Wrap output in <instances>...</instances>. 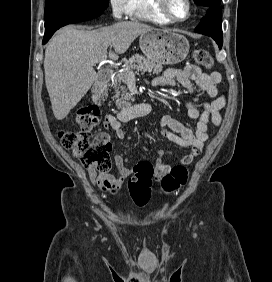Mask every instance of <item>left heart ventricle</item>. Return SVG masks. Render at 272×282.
<instances>
[{"mask_svg": "<svg viewBox=\"0 0 272 282\" xmlns=\"http://www.w3.org/2000/svg\"><path fill=\"white\" fill-rule=\"evenodd\" d=\"M168 7L176 17L183 18L186 15L187 7L184 0H168Z\"/></svg>", "mask_w": 272, "mask_h": 282, "instance_id": "obj_1", "label": "left heart ventricle"}]
</instances>
